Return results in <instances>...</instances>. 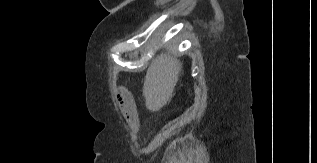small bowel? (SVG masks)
<instances>
[{
    "label": "small bowel",
    "instance_id": "obj_1",
    "mask_svg": "<svg viewBox=\"0 0 317 163\" xmlns=\"http://www.w3.org/2000/svg\"><path fill=\"white\" fill-rule=\"evenodd\" d=\"M119 101H120L121 111H122V114L124 115V117L133 126H136L138 123V116H137L135 103H134V100L131 97V95L128 93L125 99L121 100V98H119Z\"/></svg>",
    "mask_w": 317,
    "mask_h": 163
}]
</instances>
